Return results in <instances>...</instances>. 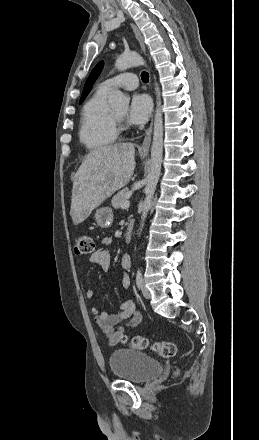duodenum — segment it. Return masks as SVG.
Masks as SVG:
<instances>
[{
    "instance_id": "410a0bca",
    "label": "duodenum",
    "mask_w": 259,
    "mask_h": 440,
    "mask_svg": "<svg viewBox=\"0 0 259 440\" xmlns=\"http://www.w3.org/2000/svg\"><path fill=\"white\" fill-rule=\"evenodd\" d=\"M133 228H134V225H133V223L132 222H129L128 224H127V227H126V230H125V241L127 242V243H129V242H131V240H132V237H133Z\"/></svg>"
}]
</instances>
